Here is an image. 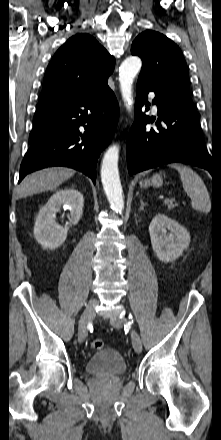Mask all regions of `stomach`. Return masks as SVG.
<instances>
[{
    "instance_id": "1",
    "label": "stomach",
    "mask_w": 221,
    "mask_h": 440,
    "mask_svg": "<svg viewBox=\"0 0 221 440\" xmlns=\"http://www.w3.org/2000/svg\"><path fill=\"white\" fill-rule=\"evenodd\" d=\"M163 184V178L161 174H154L151 179L140 182L141 187H148L150 185L154 187H160Z\"/></svg>"
}]
</instances>
